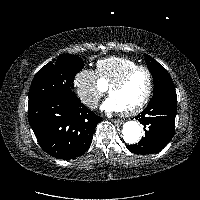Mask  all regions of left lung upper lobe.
Wrapping results in <instances>:
<instances>
[{
    "label": "left lung upper lobe",
    "instance_id": "obj_1",
    "mask_svg": "<svg viewBox=\"0 0 200 200\" xmlns=\"http://www.w3.org/2000/svg\"><path fill=\"white\" fill-rule=\"evenodd\" d=\"M145 59L148 65V69L153 76V95L161 91H175L174 83L167 70L163 66H161L155 59L147 54H145Z\"/></svg>",
    "mask_w": 200,
    "mask_h": 200
}]
</instances>
